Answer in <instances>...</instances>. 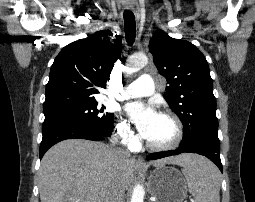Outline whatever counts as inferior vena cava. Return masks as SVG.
I'll use <instances>...</instances> for the list:
<instances>
[{
  "label": "inferior vena cava",
  "mask_w": 255,
  "mask_h": 202,
  "mask_svg": "<svg viewBox=\"0 0 255 202\" xmlns=\"http://www.w3.org/2000/svg\"><path fill=\"white\" fill-rule=\"evenodd\" d=\"M116 142L117 137L113 136L112 143ZM115 151L120 156H129L127 149L117 147ZM104 202H125V188L118 182L110 183L105 193Z\"/></svg>",
  "instance_id": "obj_1"
}]
</instances>
